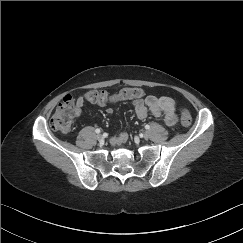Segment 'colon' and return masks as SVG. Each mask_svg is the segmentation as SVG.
I'll return each instance as SVG.
<instances>
[{
  "mask_svg": "<svg viewBox=\"0 0 243 243\" xmlns=\"http://www.w3.org/2000/svg\"><path fill=\"white\" fill-rule=\"evenodd\" d=\"M144 97V91L139 88H124L115 94L105 91H91L87 93L86 100L92 103H108L126 99H140ZM76 114V103L71 96L63 99L51 118V127L61 133H69L73 127V116ZM181 124L189 127L192 123L191 115L183 110L180 115Z\"/></svg>",
  "mask_w": 243,
  "mask_h": 243,
  "instance_id": "colon-1",
  "label": "colon"
}]
</instances>
